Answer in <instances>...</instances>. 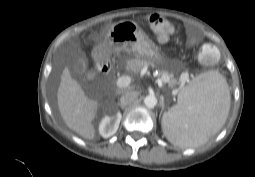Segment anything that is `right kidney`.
Masks as SVG:
<instances>
[{
	"mask_svg": "<svg viewBox=\"0 0 255 177\" xmlns=\"http://www.w3.org/2000/svg\"><path fill=\"white\" fill-rule=\"evenodd\" d=\"M122 115L120 112H117L113 115L105 116L100 124H99V133L103 138H108L114 135L118 128L121 121Z\"/></svg>",
	"mask_w": 255,
	"mask_h": 177,
	"instance_id": "1",
	"label": "right kidney"
}]
</instances>
